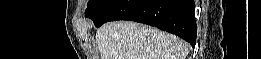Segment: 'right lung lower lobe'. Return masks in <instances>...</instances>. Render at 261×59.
<instances>
[{"label":"right lung lower lobe","mask_w":261,"mask_h":59,"mask_svg":"<svg viewBox=\"0 0 261 59\" xmlns=\"http://www.w3.org/2000/svg\"><path fill=\"white\" fill-rule=\"evenodd\" d=\"M90 18L96 27L115 20L148 24L195 46L197 26L193 0H115L100 14Z\"/></svg>","instance_id":"right-lung-lower-lobe-1"}]
</instances>
